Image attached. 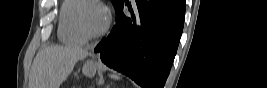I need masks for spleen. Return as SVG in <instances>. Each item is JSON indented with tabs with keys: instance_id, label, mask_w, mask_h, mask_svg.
<instances>
[{
	"instance_id": "1",
	"label": "spleen",
	"mask_w": 267,
	"mask_h": 88,
	"mask_svg": "<svg viewBox=\"0 0 267 88\" xmlns=\"http://www.w3.org/2000/svg\"><path fill=\"white\" fill-rule=\"evenodd\" d=\"M110 77L113 79H120V76L116 75V74H112V75H110Z\"/></svg>"
}]
</instances>
